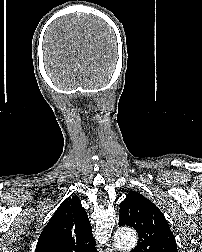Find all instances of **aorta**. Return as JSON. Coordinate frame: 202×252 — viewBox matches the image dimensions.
<instances>
[{
	"label": "aorta",
	"instance_id": "762f6f07",
	"mask_svg": "<svg viewBox=\"0 0 202 252\" xmlns=\"http://www.w3.org/2000/svg\"><path fill=\"white\" fill-rule=\"evenodd\" d=\"M138 241L136 232L128 227L118 229L114 235L115 246L122 251L129 252L133 249Z\"/></svg>",
	"mask_w": 202,
	"mask_h": 252
}]
</instances>
